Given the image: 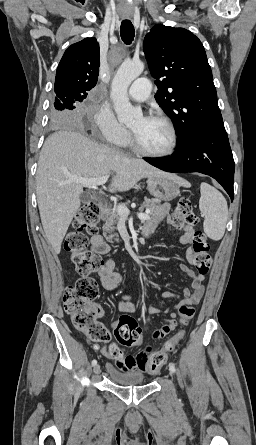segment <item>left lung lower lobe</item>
<instances>
[{"mask_svg": "<svg viewBox=\"0 0 256 445\" xmlns=\"http://www.w3.org/2000/svg\"><path fill=\"white\" fill-rule=\"evenodd\" d=\"M167 172H200L215 178L234 197V160L224 128H203L178 143L170 157L144 158Z\"/></svg>", "mask_w": 256, "mask_h": 445, "instance_id": "1", "label": "left lung lower lobe"}]
</instances>
